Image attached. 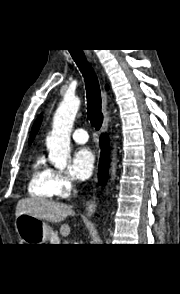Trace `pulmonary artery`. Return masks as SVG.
I'll return each mask as SVG.
<instances>
[{"label": "pulmonary artery", "instance_id": "1", "mask_svg": "<svg viewBox=\"0 0 180 294\" xmlns=\"http://www.w3.org/2000/svg\"><path fill=\"white\" fill-rule=\"evenodd\" d=\"M72 137L77 143H86L88 141V134L84 129H76Z\"/></svg>", "mask_w": 180, "mask_h": 294}]
</instances>
